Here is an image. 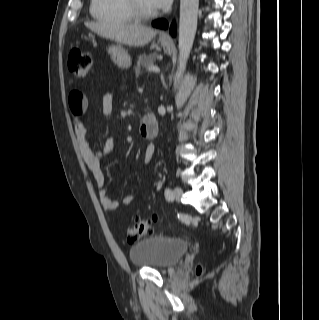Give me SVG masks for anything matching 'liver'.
<instances>
[{"label": "liver", "mask_w": 319, "mask_h": 320, "mask_svg": "<svg viewBox=\"0 0 319 320\" xmlns=\"http://www.w3.org/2000/svg\"><path fill=\"white\" fill-rule=\"evenodd\" d=\"M85 26L103 37L129 46L148 44L157 31L137 24L85 22Z\"/></svg>", "instance_id": "6515ba94"}]
</instances>
